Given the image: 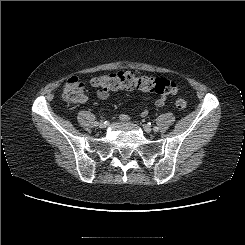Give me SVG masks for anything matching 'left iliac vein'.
<instances>
[{"label": "left iliac vein", "instance_id": "1", "mask_svg": "<svg viewBox=\"0 0 245 245\" xmlns=\"http://www.w3.org/2000/svg\"><path fill=\"white\" fill-rule=\"evenodd\" d=\"M143 129L147 133H151L152 132V128L149 125H147V124L143 125Z\"/></svg>", "mask_w": 245, "mask_h": 245}]
</instances>
